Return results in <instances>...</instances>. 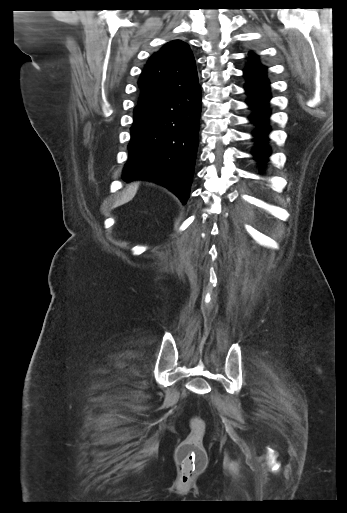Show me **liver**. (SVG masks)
Returning <instances> with one entry per match:
<instances>
[{"label":"liver","instance_id":"1","mask_svg":"<svg viewBox=\"0 0 347 513\" xmlns=\"http://www.w3.org/2000/svg\"><path fill=\"white\" fill-rule=\"evenodd\" d=\"M138 189V183H133L127 187L126 192L121 196L119 200H117L114 204V207L121 206L129 201H131Z\"/></svg>","mask_w":347,"mask_h":513}]
</instances>
